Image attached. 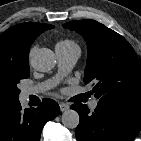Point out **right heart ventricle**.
<instances>
[{
    "mask_svg": "<svg viewBox=\"0 0 141 141\" xmlns=\"http://www.w3.org/2000/svg\"><path fill=\"white\" fill-rule=\"evenodd\" d=\"M56 47L64 48V49H71V48H77L79 49L77 43L70 39H64L62 41H59L56 45Z\"/></svg>",
    "mask_w": 141,
    "mask_h": 141,
    "instance_id": "1",
    "label": "right heart ventricle"
}]
</instances>
